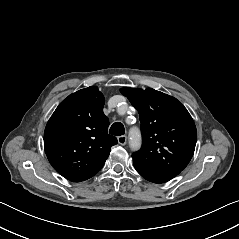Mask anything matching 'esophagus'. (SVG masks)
<instances>
[{"mask_svg": "<svg viewBox=\"0 0 239 239\" xmlns=\"http://www.w3.org/2000/svg\"><path fill=\"white\" fill-rule=\"evenodd\" d=\"M117 139H118V143L121 145H125L127 142V137L125 135L119 136Z\"/></svg>", "mask_w": 239, "mask_h": 239, "instance_id": "34e87169", "label": "esophagus"}]
</instances>
